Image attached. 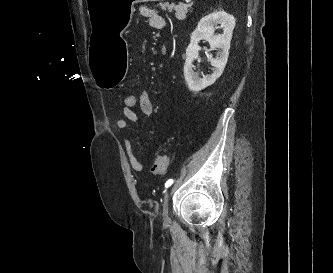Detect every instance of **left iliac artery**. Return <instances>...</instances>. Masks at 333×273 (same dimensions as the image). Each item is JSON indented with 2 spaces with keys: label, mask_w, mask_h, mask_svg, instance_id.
Listing matches in <instances>:
<instances>
[{
  "label": "left iliac artery",
  "mask_w": 333,
  "mask_h": 273,
  "mask_svg": "<svg viewBox=\"0 0 333 273\" xmlns=\"http://www.w3.org/2000/svg\"><path fill=\"white\" fill-rule=\"evenodd\" d=\"M173 179H169L166 183H165V188L170 187L173 184Z\"/></svg>",
  "instance_id": "44dca946"
}]
</instances>
